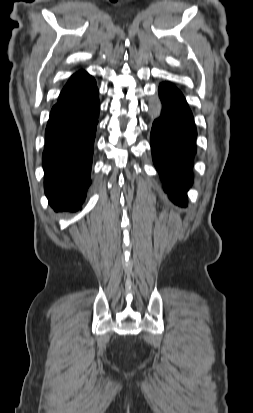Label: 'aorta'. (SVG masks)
Here are the masks:
<instances>
[{
	"instance_id": "obj_1",
	"label": "aorta",
	"mask_w": 253,
	"mask_h": 413,
	"mask_svg": "<svg viewBox=\"0 0 253 413\" xmlns=\"http://www.w3.org/2000/svg\"><path fill=\"white\" fill-rule=\"evenodd\" d=\"M150 114L158 117L161 114L162 104L158 97L153 98L149 103Z\"/></svg>"
}]
</instances>
